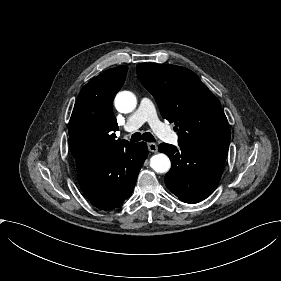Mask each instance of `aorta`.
I'll list each match as a JSON object with an SVG mask.
<instances>
[{
  "instance_id": "1",
  "label": "aorta",
  "mask_w": 281,
  "mask_h": 281,
  "mask_svg": "<svg viewBox=\"0 0 281 281\" xmlns=\"http://www.w3.org/2000/svg\"><path fill=\"white\" fill-rule=\"evenodd\" d=\"M114 103L120 113H130L135 109L137 99L132 92L121 91L117 93ZM150 167L157 173H166L171 167V161L163 153L155 154L150 158Z\"/></svg>"
}]
</instances>
